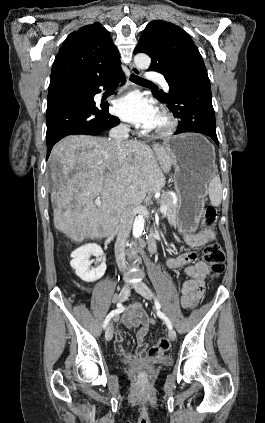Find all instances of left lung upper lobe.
<instances>
[{"instance_id": "1", "label": "left lung upper lobe", "mask_w": 265, "mask_h": 423, "mask_svg": "<svg viewBox=\"0 0 265 423\" xmlns=\"http://www.w3.org/2000/svg\"><path fill=\"white\" fill-rule=\"evenodd\" d=\"M146 53L152 61L149 71H158L169 76L173 71L202 57L191 37L175 24L155 20L144 29L134 53ZM154 94L168 99L169 94L162 91Z\"/></svg>"}]
</instances>
